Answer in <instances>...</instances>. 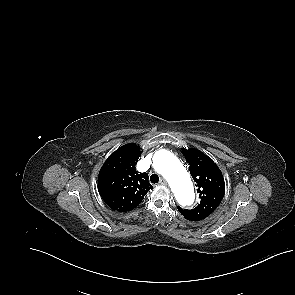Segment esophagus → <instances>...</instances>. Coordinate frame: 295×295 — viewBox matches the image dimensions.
Masks as SVG:
<instances>
[{"label": "esophagus", "instance_id": "34e87169", "mask_svg": "<svg viewBox=\"0 0 295 295\" xmlns=\"http://www.w3.org/2000/svg\"><path fill=\"white\" fill-rule=\"evenodd\" d=\"M160 184H162V185H167V181H166L165 179H161V180H160Z\"/></svg>", "mask_w": 295, "mask_h": 295}]
</instances>
